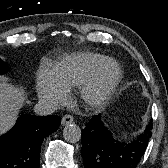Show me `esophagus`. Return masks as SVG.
I'll use <instances>...</instances> for the list:
<instances>
[{
	"label": "esophagus",
	"mask_w": 168,
	"mask_h": 168,
	"mask_svg": "<svg viewBox=\"0 0 168 168\" xmlns=\"http://www.w3.org/2000/svg\"><path fill=\"white\" fill-rule=\"evenodd\" d=\"M73 122H74V118H73L71 115L67 114V115H64V116L62 117L61 124H62L63 126H65V125L71 124V123H73Z\"/></svg>",
	"instance_id": "obj_1"
}]
</instances>
